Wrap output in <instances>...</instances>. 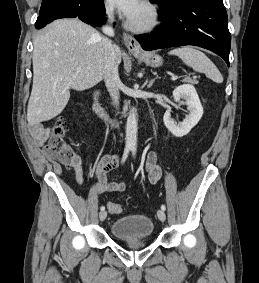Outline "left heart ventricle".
Segmentation results:
<instances>
[{"instance_id":"left-heart-ventricle-1","label":"left heart ventricle","mask_w":259,"mask_h":283,"mask_svg":"<svg viewBox=\"0 0 259 283\" xmlns=\"http://www.w3.org/2000/svg\"><path fill=\"white\" fill-rule=\"evenodd\" d=\"M148 19V13L146 8L141 5L137 13L131 18V21L134 22L135 24H142L146 22Z\"/></svg>"}]
</instances>
